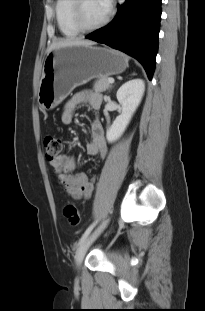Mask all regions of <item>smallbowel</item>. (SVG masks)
Segmentation results:
<instances>
[{
  "mask_svg": "<svg viewBox=\"0 0 205 311\" xmlns=\"http://www.w3.org/2000/svg\"><path fill=\"white\" fill-rule=\"evenodd\" d=\"M102 98L97 92L79 91L64 105L60 119L63 124L69 125L74 121L76 110L83 105H89L92 109L98 110L101 107ZM90 140L86 145L87 153L90 156L105 158L107 154L106 143L103 135V127L98 119H94L89 126ZM55 174L57 183L65 192L75 198H88L94 188V180L85 173L72 174L76 162L73 156L60 154L50 162Z\"/></svg>",
  "mask_w": 205,
  "mask_h": 311,
  "instance_id": "obj_1",
  "label": "small bowel"
}]
</instances>
